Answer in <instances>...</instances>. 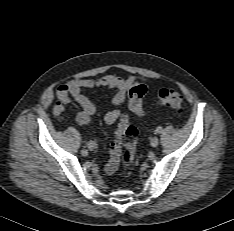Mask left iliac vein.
<instances>
[{"label":"left iliac vein","instance_id":"obj_1","mask_svg":"<svg viewBox=\"0 0 234 231\" xmlns=\"http://www.w3.org/2000/svg\"><path fill=\"white\" fill-rule=\"evenodd\" d=\"M150 144L152 147H157L158 144H159V140L157 137H153L151 140H150Z\"/></svg>","mask_w":234,"mask_h":231}]
</instances>
